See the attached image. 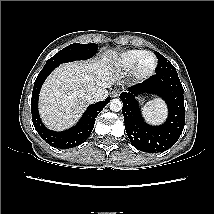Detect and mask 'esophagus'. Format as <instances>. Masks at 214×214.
I'll list each match as a JSON object with an SVG mask.
<instances>
[{"label":"esophagus","instance_id":"34e87169","mask_svg":"<svg viewBox=\"0 0 214 214\" xmlns=\"http://www.w3.org/2000/svg\"><path fill=\"white\" fill-rule=\"evenodd\" d=\"M120 94V90L119 89H115L113 92H112V96L113 97H118Z\"/></svg>","mask_w":214,"mask_h":214}]
</instances>
